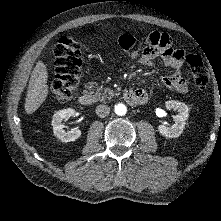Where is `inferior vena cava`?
Masks as SVG:
<instances>
[{
    "instance_id": "obj_1",
    "label": "inferior vena cava",
    "mask_w": 221,
    "mask_h": 221,
    "mask_svg": "<svg viewBox=\"0 0 221 221\" xmlns=\"http://www.w3.org/2000/svg\"><path fill=\"white\" fill-rule=\"evenodd\" d=\"M109 113L110 108L107 105H99L96 107V114L101 118L108 116Z\"/></svg>"
}]
</instances>
